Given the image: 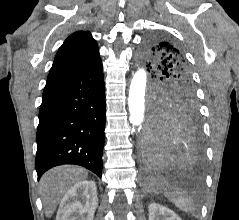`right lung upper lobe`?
Wrapping results in <instances>:
<instances>
[{"instance_id":"1","label":"right lung upper lobe","mask_w":239,"mask_h":220,"mask_svg":"<svg viewBox=\"0 0 239 220\" xmlns=\"http://www.w3.org/2000/svg\"><path fill=\"white\" fill-rule=\"evenodd\" d=\"M99 60V49L90 32H75L59 48L47 82L76 73Z\"/></svg>"}]
</instances>
